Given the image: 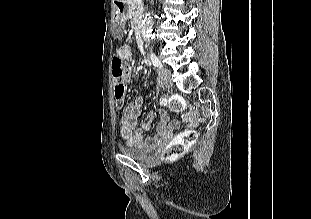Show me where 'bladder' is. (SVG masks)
I'll use <instances>...</instances> for the list:
<instances>
[{"label": "bladder", "mask_w": 311, "mask_h": 219, "mask_svg": "<svg viewBox=\"0 0 311 219\" xmlns=\"http://www.w3.org/2000/svg\"><path fill=\"white\" fill-rule=\"evenodd\" d=\"M119 150L124 156L135 160H144L150 156L153 149L144 145L129 144V146H120Z\"/></svg>", "instance_id": "31cf9c89"}]
</instances>
